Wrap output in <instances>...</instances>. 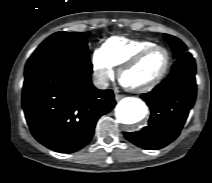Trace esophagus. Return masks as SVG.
Listing matches in <instances>:
<instances>
[{"label":"esophagus","mask_w":212,"mask_h":183,"mask_svg":"<svg viewBox=\"0 0 212 183\" xmlns=\"http://www.w3.org/2000/svg\"><path fill=\"white\" fill-rule=\"evenodd\" d=\"M121 98H122V95L116 92V93H115V99L118 101V100H120Z\"/></svg>","instance_id":"esophagus-1"}]
</instances>
